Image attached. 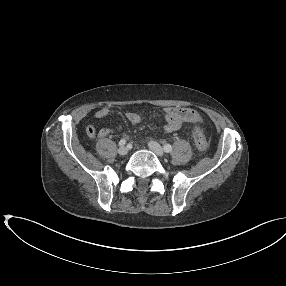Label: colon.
<instances>
[{"label":"colon","mask_w":286,"mask_h":286,"mask_svg":"<svg viewBox=\"0 0 286 286\" xmlns=\"http://www.w3.org/2000/svg\"><path fill=\"white\" fill-rule=\"evenodd\" d=\"M193 138L196 145V148L204 152L208 148V141L202 129L196 127L193 130Z\"/></svg>","instance_id":"colon-1"}]
</instances>
